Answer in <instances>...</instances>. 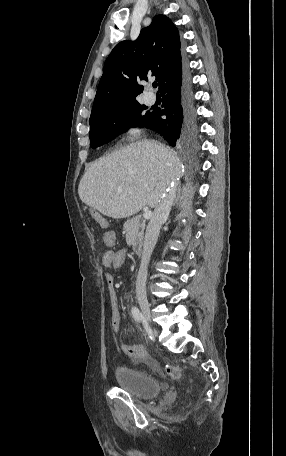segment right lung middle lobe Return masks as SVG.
<instances>
[{
    "mask_svg": "<svg viewBox=\"0 0 286 456\" xmlns=\"http://www.w3.org/2000/svg\"><path fill=\"white\" fill-rule=\"evenodd\" d=\"M146 107L139 103H135L128 106H121L110 109L93 121H90V146L96 148L108 143L114 139L117 135L128 130L129 127L141 125L148 126L152 111L144 112ZM196 129H194L191 135L183 142L178 145H185L193 139Z\"/></svg>",
    "mask_w": 286,
    "mask_h": 456,
    "instance_id": "dd1d6c3e",
    "label": "right lung middle lobe"
}]
</instances>
